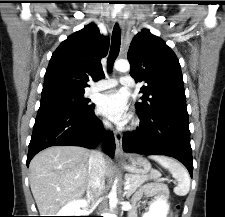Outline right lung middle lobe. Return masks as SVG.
Masks as SVG:
<instances>
[{
  "instance_id": "dd1d6c3e",
  "label": "right lung middle lobe",
  "mask_w": 225,
  "mask_h": 217,
  "mask_svg": "<svg viewBox=\"0 0 225 217\" xmlns=\"http://www.w3.org/2000/svg\"><path fill=\"white\" fill-rule=\"evenodd\" d=\"M84 92L57 91L41 95L40 107H64L78 111L94 107L90 100L83 98Z\"/></svg>"
}]
</instances>
